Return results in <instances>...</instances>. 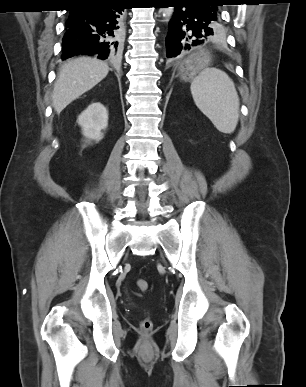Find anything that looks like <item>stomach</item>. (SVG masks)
Here are the masks:
<instances>
[{
  "label": "stomach",
  "instance_id": "stomach-1",
  "mask_svg": "<svg viewBox=\"0 0 306 387\" xmlns=\"http://www.w3.org/2000/svg\"><path fill=\"white\" fill-rule=\"evenodd\" d=\"M209 57L205 52H201L194 59L188 60L179 68L180 77L184 81H190L206 65Z\"/></svg>",
  "mask_w": 306,
  "mask_h": 387
}]
</instances>
